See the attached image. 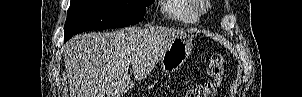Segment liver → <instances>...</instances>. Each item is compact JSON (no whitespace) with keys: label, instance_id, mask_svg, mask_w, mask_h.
<instances>
[{"label":"liver","instance_id":"6515ba94","mask_svg":"<svg viewBox=\"0 0 302 97\" xmlns=\"http://www.w3.org/2000/svg\"><path fill=\"white\" fill-rule=\"evenodd\" d=\"M182 31L165 27L84 33L64 47L70 97H120L132 85L129 65L144 78Z\"/></svg>","mask_w":302,"mask_h":97}]
</instances>
